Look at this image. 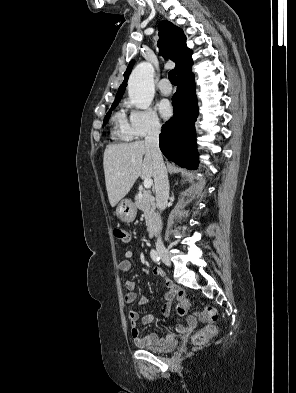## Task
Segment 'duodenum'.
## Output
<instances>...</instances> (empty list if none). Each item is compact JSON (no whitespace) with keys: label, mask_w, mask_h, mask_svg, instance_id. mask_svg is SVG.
I'll return each mask as SVG.
<instances>
[{"label":"duodenum","mask_w":296,"mask_h":393,"mask_svg":"<svg viewBox=\"0 0 296 393\" xmlns=\"http://www.w3.org/2000/svg\"><path fill=\"white\" fill-rule=\"evenodd\" d=\"M157 234H158V227L152 226V227L150 228V235H151V236H157Z\"/></svg>","instance_id":"410a0bca"}]
</instances>
